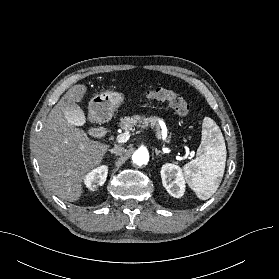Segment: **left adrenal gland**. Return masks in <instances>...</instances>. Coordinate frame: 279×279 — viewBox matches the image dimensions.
Returning <instances> with one entry per match:
<instances>
[{
  "label": "left adrenal gland",
  "instance_id": "obj_1",
  "mask_svg": "<svg viewBox=\"0 0 279 279\" xmlns=\"http://www.w3.org/2000/svg\"><path fill=\"white\" fill-rule=\"evenodd\" d=\"M155 154H156V156H158L159 154H163V152H162L161 150H157V149L155 148Z\"/></svg>",
  "mask_w": 279,
  "mask_h": 279
}]
</instances>
